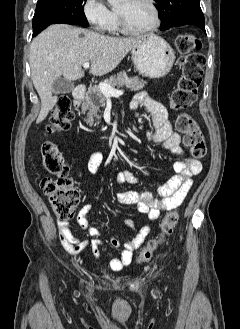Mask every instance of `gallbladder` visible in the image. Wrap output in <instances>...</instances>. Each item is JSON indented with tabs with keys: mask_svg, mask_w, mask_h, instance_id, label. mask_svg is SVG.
Masks as SVG:
<instances>
[{
	"mask_svg": "<svg viewBox=\"0 0 240 329\" xmlns=\"http://www.w3.org/2000/svg\"><path fill=\"white\" fill-rule=\"evenodd\" d=\"M75 85L72 81L65 78H58L53 82L52 91L55 94H67L74 89Z\"/></svg>",
	"mask_w": 240,
	"mask_h": 329,
	"instance_id": "obj_1",
	"label": "gallbladder"
}]
</instances>
